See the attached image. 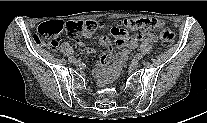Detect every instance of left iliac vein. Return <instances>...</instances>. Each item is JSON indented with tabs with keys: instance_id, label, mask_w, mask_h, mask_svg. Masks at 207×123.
<instances>
[{
	"instance_id": "1",
	"label": "left iliac vein",
	"mask_w": 207,
	"mask_h": 123,
	"mask_svg": "<svg viewBox=\"0 0 207 123\" xmlns=\"http://www.w3.org/2000/svg\"><path fill=\"white\" fill-rule=\"evenodd\" d=\"M139 67V62L137 60H133L131 62V68L136 69Z\"/></svg>"
}]
</instances>
